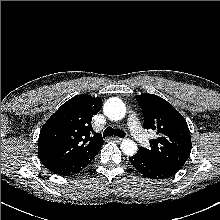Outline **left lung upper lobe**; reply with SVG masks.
<instances>
[{
    "label": "left lung upper lobe",
    "mask_w": 220,
    "mask_h": 220,
    "mask_svg": "<svg viewBox=\"0 0 220 220\" xmlns=\"http://www.w3.org/2000/svg\"><path fill=\"white\" fill-rule=\"evenodd\" d=\"M144 113L146 129L158 134L150 140V148L139 153L172 170H179L191 152V137L186 120L166 100L153 94L136 97Z\"/></svg>",
    "instance_id": "1"
}]
</instances>
